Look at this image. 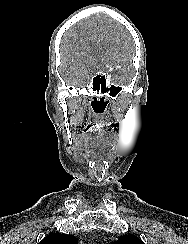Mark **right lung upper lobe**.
Instances as JSON below:
<instances>
[{
    "label": "right lung upper lobe",
    "instance_id": "1",
    "mask_svg": "<svg viewBox=\"0 0 188 244\" xmlns=\"http://www.w3.org/2000/svg\"><path fill=\"white\" fill-rule=\"evenodd\" d=\"M77 238L73 235L51 233L38 244H77Z\"/></svg>",
    "mask_w": 188,
    "mask_h": 244
}]
</instances>
